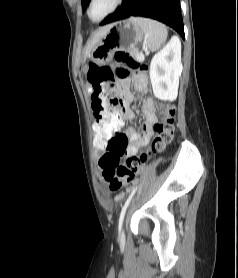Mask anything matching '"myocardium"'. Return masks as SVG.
<instances>
[{
  "label": "myocardium",
  "instance_id": "myocardium-1",
  "mask_svg": "<svg viewBox=\"0 0 238 278\" xmlns=\"http://www.w3.org/2000/svg\"><path fill=\"white\" fill-rule=\"evenodd\" d=\"M94 2H95V0H90L88 2L87 7H86V15L91 22L100 23V22L104 21L106 18H108L109 16H111L113 13L116 12L120 8V6L122 5L123 0H115L112 8L103 17H101L97 20L93 19L90 16V9H91V6L93 5Z\"/></svg>",
  "mask_w": 238,
  "mask_h": 278
}]
</instances>
